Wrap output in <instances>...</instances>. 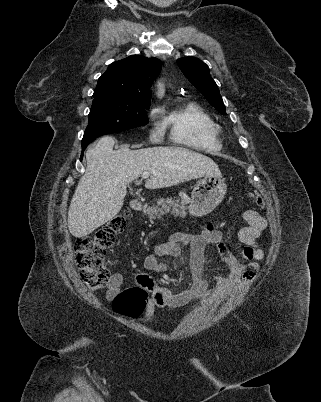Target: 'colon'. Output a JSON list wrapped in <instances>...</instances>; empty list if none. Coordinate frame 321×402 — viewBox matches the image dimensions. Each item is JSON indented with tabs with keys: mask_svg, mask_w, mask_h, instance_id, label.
<instances>
[{
	"mask_svg": "<svg viewBox=\"0 0 321 402\" xmlns=\"http://www.w3.org/2000/svg\"><path fill=\"white\" fill-rule=\"evenodd\" d=\"M253 202L265 206V200L260 195H252ZM129 211L117 215L108 221L93 236L79 237L75 241V263L79 276L92 291L105 288L110 272L103 262L106 251L114 242L115 236L123 231ZM148 293L140 286H133L123 290L113 300L114 311L127 318H139L146 309Z\"/></svg>",
	"mask_w": 321,
	"mask_h": 402,
	"instance_id": "obj_1",
	"label": "colon"
}]
</instances>
